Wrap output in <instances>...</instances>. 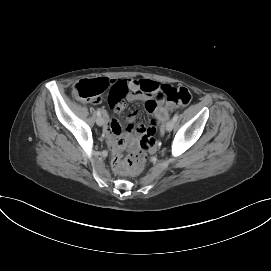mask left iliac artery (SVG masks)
Masks as SVG:
<instances>
[{"mask_svg": "<svg viewBox=\"0 0 271 271\" xmlns=\"http://www.w3.org/2000/svg\"><path fill=\"white\" fill-rule=\"evenodd\" d=\"M178 113H176L174 116H173V121L176 122L178 120Z\"/></svg>", "mask_w": 271, "mask_h": 271, "instance_id": "1", "label": "left iliac artery"}]
</instances>
